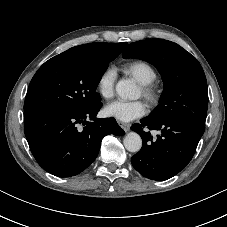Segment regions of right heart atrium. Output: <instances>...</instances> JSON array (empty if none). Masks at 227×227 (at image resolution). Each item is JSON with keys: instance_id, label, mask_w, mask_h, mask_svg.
Segmentation results:
<instances>
[{"instance_id": "right-heart-atrium-1", "label": "right heart atrium", "mask_w": 227, "mask_h": 227, "mask_svg": "<svg viewBox=\"0 0 227 227\" xmlns=\"http://www.w3.org/2000/svg\"><path fill=\"white\" fill-rule=\"evenodd\" d=\"M115 81L116 73L114 69H105L97 79L96 89L98 94L104 99L111 98L114 94Z\"/></svg>"}]
</instances>
